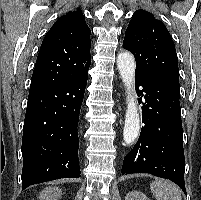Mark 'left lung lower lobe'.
<instances>
[{
  "label": "left lung lower lobe",
  "instance_id": "0a47b994",
  "mask_svg": "<svg viewBox=\"0 0 201 200\" xmlns=\"http://www.w3.org/2000/svg\"><path fill=\"white\" fill-rule=\"evenodd\" d=\"M135 82L144 125L124 158L122 175L149 173L173 181L186 194L179 77L135 74Z\"/></svg>",
  "mask_w": 201,
  "mask_h": 200
}]
</instances>
